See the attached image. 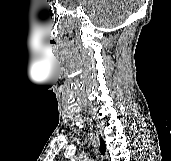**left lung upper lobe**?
<instances>
[{
  "label": "left lung upper lobe",
  "instance_id": "obj_1",
  "mask_svg": "<svg viewBox=\"0 0 171 161\" xmlns=\"http://www.w3.org/2000/svg\"><path fill=\"white\" fill-rule=\"evenodd\" d=\"M100 148H101V152L104 153L105 149H106V145L104 140L100 139Z\"/></svg>",
  "mask_w": 171,
  "mask_h": 161
}]
</instances>
